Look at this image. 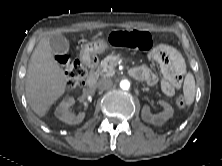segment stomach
<instances>
[{
    "instance_id": "1",
    "label": "stomach",
    "mask_w": 222,
    "mask_h": 166,
    "mask_svg": "<svg viewBox=\"0 0 222 166\" xmlns=\"http://www.w3.org/2000/svg\"><path fill=\"white\" fill-rule=\"evenodd\" d=\"M108 48V44L103 39H96L87 43L84 47L86 55H96L103 53Z\"/></svg>"
}]
</instances>
